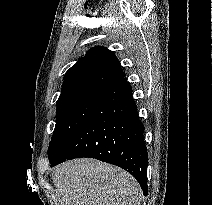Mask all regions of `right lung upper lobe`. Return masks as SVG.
<instances>
[{
    "mask_svg": "<svg viewBox=\"0 0 212 205\" xmlns=\"http://www.w3.org/2000/svg\"><path fill=\"white\" fill-rule=\"evenodd\" d=\"M124 76L113 52L96 46L66 72L57 105L84 96L102 95Z\"/></svg>",
    "mask_w": 212,
    "mask_h": 205,
    "instance_id": "1",
    "label": "right lung upper lobe"
}]
</instances>
